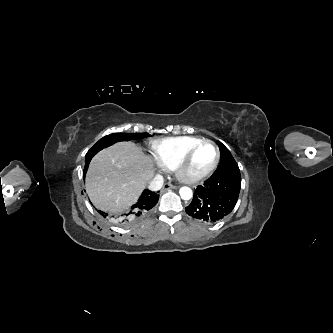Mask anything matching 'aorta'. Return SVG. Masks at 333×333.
I'll use <instances>...</instances> for the list:
<instances>
[{
  "instance_id": "obj_1",
  "label": "aorta",
  "mask_w": 333,
  "mask_h": 333,
  "mask_svg": "<svg viewBox=\"0 0 333 333\" xmlns=\"http://www.w3.org/2000/svg\"><path fill=\"white\" fill-rule=\"evenodd\" d=\"M183 200H189L192 198V190L189 187H182L179 191Z\"/></svg>"
}]
</instances>
